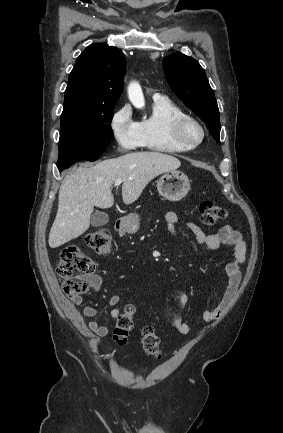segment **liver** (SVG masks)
<instances>
[{
  "mask_svg": "<svg viewBox=\"0 0 283 433\" xmlns=\"http://www.w3.org/2000/svg\"><path fill=\"white\" fill-rule=\"evenodd\" d=\"M181 162L163 152H128L94 164L81 162L76 172L66 174L59 190L56 219L49 233V247L56 249L83 235L90 227L94 206L110 208L114 204L111 186L122 178V198L131 204L146 184L168 170L179 168Z\"/></svg>",
  "mask_w": 283,
  "mask_h": 433,
  "instance_id": "liver-1",
  "label": "liver"
}]
</instances>
